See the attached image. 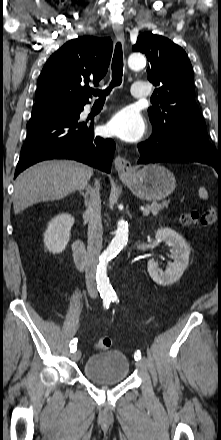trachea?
I'll return each instance as SVG.
<instances>
[{
	"label": "trachea",
	"instance_id": "1",
	"mask_svg": "<svg viewBox=\"0 0 221 440\" xmlns=\"http://www.w3.org/2000/svg\"><path fill=\"white\" fill-rule=\"evenodd\" d=\"M122 76H123V53H122L121 43L118 42L115 46L114 56L112 59V81L110 83V86L103 91L93 89L90 90V92L94 96H99V99H105L106 95L110 93L112 88L121 85Z\"/></svg>",
	"mask_w": 221,
	"mask_h": 440
}]
</instances>
